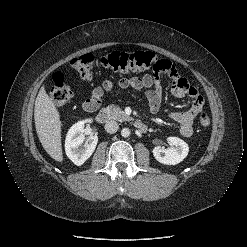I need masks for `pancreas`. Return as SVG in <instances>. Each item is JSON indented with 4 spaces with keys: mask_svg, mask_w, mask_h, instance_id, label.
I'll return each mask as SVG.
<instances>
[{
    "mask_svg": "<svg viewBox=\"0 0 247 247\" xmlns=\"http://www.w3.org/2000/svg\"><path fill=\"white\" fill-rule=\"evenodd\" d=\"M107 115L110 119L119 120V121H127L129 117L125 114V112L117 105H109L106 108Z\"/></svg>",
    "mask_w": 247,
    "mask_h": 247,
    "instance_id": "1",
    "label": "pancreas"
}]
</instances>
